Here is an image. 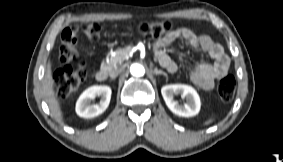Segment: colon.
<instances>
[{
	"instance_id": "1",
	"label": "colon",
	"mask_w": 283,
	"mask_h": 162,
	"mask_svg": "<svg viewBox=\"0 0 283 162\" xmlns=\"http://www.w3.org/2000/svg\"><path fill=\"white\" fill-rule=\"evenodd\" d=\"M172 23L168 20L143 22L139 25V31L146 37L158 38L172 30ZM102 26L99 22H85L79 26H70L61 33L59 49V61L61 67L54 73L56 94L59 98H67L77 92L86 82L87 73L84 64H78L73 68L70 64L78 58L77 40L80 35L89 40H98ZM236 91V80L232 75L224 76L217 86L219 98L224 102L233 99Z\"/></svg>"
}]
</instances>
